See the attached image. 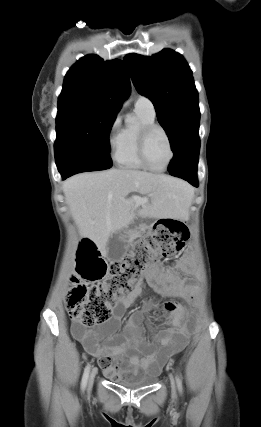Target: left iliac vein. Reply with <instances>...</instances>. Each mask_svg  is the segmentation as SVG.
<instances>
[{
  "label": "left iliac vein",
  "mask_w": 261,
  "mask_h": 427,
  "mask_svg": "<svg viewBox=\"0 0 261 427\" xmlns=\"http://www.w3.org/2000/svg\"><path fill=\"white\" fill-rule=\"evenodd\" d=\"M171 389H172L173 395H175L176 394V386H175V381L172 377H171Z\"/></svg>",
  "instance_id": "obj_1"
}]
</instances>
